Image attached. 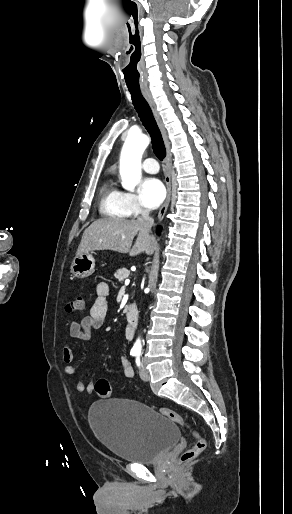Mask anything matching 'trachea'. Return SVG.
I'll use <instances>...</instances> for the list:
<instances>
[{"label": "trachea", "instance_id": "obj_1", "mask_svg": "<svg viewBox=\"0 0 292 514\" xmlns=\"http://www.w3.org/2000/svg\"><path fill=\"white\" fill-rule=\"evenodd\" d=\"M133 105L135 107L138 116L147 132L151 137L152 149L154 154L159 160H163L166 157V148L163 142V137L159 130V127L155 121L152 110L148 105V102L143 97L140 89L133 90L129 89Z\"/></svg>", "mask_w": 292, "mask_h": 514}]
</instances>
